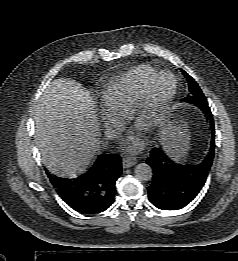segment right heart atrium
Returning <instances> with one entry per match:
<instances>
[{
    "label": "right heart atrium",
    "instance_id": "obj_1",
    "mask_svg": "<svg viewBox=\"0 0 238 261\" xmlns=\"http://www.w3.org/2000/svg\"><path fill=\"white\" fill-rule=\"evenodd\" d=\"M101 120L105 133L110 138L116 137L125 123L123 115L112 113L107 110L101 112Z\"/></svg>",
    "mask_w": 238,
    "mask_h": 261
}]
</instances>
